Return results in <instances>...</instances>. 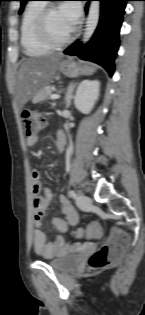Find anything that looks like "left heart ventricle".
Masks as SVG:
<instances>
[{
	"label": "left heart ventricle",
	"instance_id": "obj_1",
	"mask_svg": "<svg viewBox=\"0 0 145 315\" xmlns=\"http://www.w3.org/2000/svg\"><path fill=\"white\" fill-rule=\"evenodd\" d=\"M47 28L51 38L55 41L65 39L73 30L66 17L58 8L50 13L47 20Z\"/></svg>",
	"mask_w": 145,
	"mask_h": 315
}]
</instances>
